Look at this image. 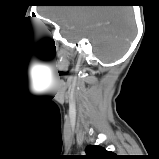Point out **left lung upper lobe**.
I'll list each match as a JSON object with an SVG mask.
<instances>
[{
    "label": "left lung upper lobe",
    "instance_id": "5c2ea615",
    "mask_svg": "<svg viewBox=\"0 0 159 159\" xmlns=\"http://www.w3.org/2000/svg\"><path fill=\"white\" fill-rule=\"evenodd\" d=\"M86 155L81 156V159H119L118 155L107 151L101 146L89 145L86 147Z\"/></svg>",
    "mask_w": 159,
    "mask_h": 159
}]
</instances>
